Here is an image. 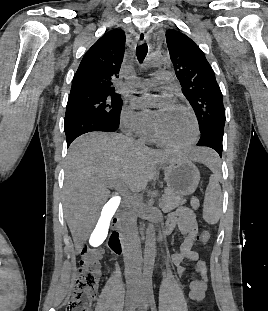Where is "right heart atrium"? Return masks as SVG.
<instances>
[{
	"mask_svg": "<svg viewBox=\"0 0 268 311\" xmlns=\"http://www.w3.org/2000/svg\"><path fill=\"white\" fill-rule=\"evenodd\" d=\"M121 125L126 132L140 136L152 130L149 114L145 111H135L132 107L123 111Z\"/></svg>",
	"mask_w": 268,
	"mask_h": 311,
	"instance_id": "right-heart-atrium-1",
	"label": "right heart atrium"
}]
</instances>
